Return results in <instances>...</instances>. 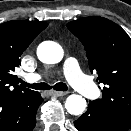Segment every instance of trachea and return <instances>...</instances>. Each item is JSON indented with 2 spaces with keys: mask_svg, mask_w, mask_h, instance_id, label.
Returning a JSON list of instances; mask_svg holds the SVG:
<instances>
[{
  "mask_svg": "<svg viewBox=\"0 0 131 131\" xmlns=\"http://www.w3.org/2000/svg\"><path fill=\"white\" fill-rule=\"evenodd\" d=\"M21 84L24 87H29L35 90H49L53 88L54 90H57V91H67L68 89V86L63 82H59V83H56L54 86H50L47 83L29 84L21 80Z\"/></svg>",
  "mask_w": 131,
  "mask_h": 131,
  "instance_id": "trachea-1",
  "label": "trachea"
}]
</instances>
